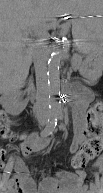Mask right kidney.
Segmentation results:
<instances>
[{
    "mask_svg": "<svg viewBox=\"0 0 103 193\" xmlns=\"http://www.w3.org/2000/svg\"><path fill=\"white\" fill-rule=\"evenodd\" d=\"M1 94V105L8 114H16L23 110V108L18 103V84L5 82L1 89Z\"/></svg>",
    "mask_w": 103,
    "mask_h": 193,
    "instance_id": "ca27d5eb",
    "label": "right kidney"
}]
</instances>
